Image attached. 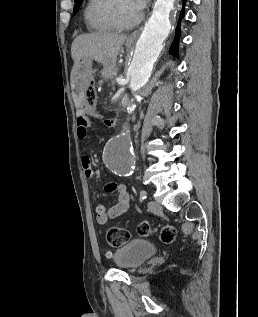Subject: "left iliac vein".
I'll use <instances>...</instances> for the list:
<instances>
[{
    "label": "left iliac vein",
    "instance_id": "obj_1",
    "mask_svg": "<svg viewBox=\"0 0 258 317\" xmlns=\"http://www.w3.org/2000/svg\"><path fill=\"white\" fill-rule=\"evenodd\" d=\"M149 204V208L152 210L153 213L163 212V207L159 205V202L157 200H151Z\"/></svg>",
    "mask_w": 258,
    "mask_h": 317
}]
</instances>
